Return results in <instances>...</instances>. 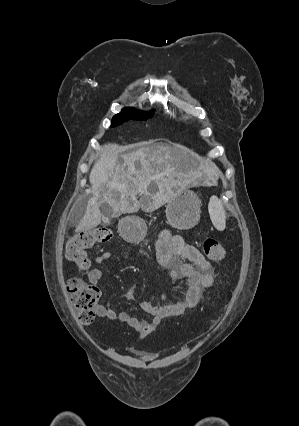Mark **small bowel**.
I'll return each mask as SVG.
<instances>
[{"mask_svg": "<svg viewBox=\"0 0 299 426\" xmlns=\"http://www.w3.org/2000/svg\"><path fill=\"white\" fill-rule=\"evenodd\" d=\"M156 257L158 263L165 269L170 285L174 286L181 280L187 281V289L183 299L162 305H154L150 301L140 302V308L152 319L150 321L139 319L127 311L117 313L111 303V298L105 304L98 305V316L110 321L124 323L139 334V339H144L154 332L165 318L179 316L187 309L195 307L201 300L203 292L210 288L215 279L212 265L205 259L202 253L193 245L188 244L180 235L171 234L163 230L156 243ZM111 258V253L105 251L94 259V264L100 266ZM103 277L99 268L92 269L88 274L91 285L96 287ZM125 298L130 302L138 299L135 288H130L125 293ZM166 295H162V300ZM140 355L145 356L144 353Z\"/></svg>", "mask_w": 299, "mask_h": 426, "instance_id": "c3829d8e", "label": "small bowel"}]
</instances>
